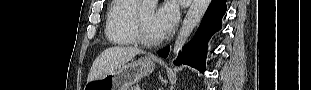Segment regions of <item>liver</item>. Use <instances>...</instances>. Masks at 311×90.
Returning a JSON list of instances; mask_svg holds the SVG:
<instances>
[{
	"mask_svg": "<svg viewBox=\"0 0 311 90\" xmlns=\"http://www.w3.org/2000/svg\"><path fill=\"white\" fill-rule=\"evenodd\" d=\"M142 53L143 51L136 47L114 46L104 50L93 62L87 82L104 77Z\"/></svg>",
	"mask_w": 311,
	"mask_h": 90,
	"instance_id": "1",
	"label": "liver"
}]
</instances>
